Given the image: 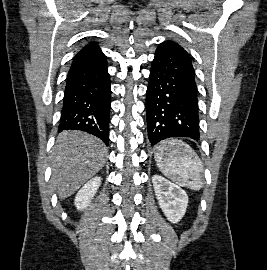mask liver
I'll return each mask as SVG.
<instances>
[{
  "mask_svg": "<svg viewBox=\"0 0 267 270\" xmlns=\"http://www.w3.org/2000/svg\"><path fill=\"white\" fill-rule=\"evenodd\" d=\"M107 156V147L95 136L73 130L60 133L52 156L51 177L59 198L73 195L103 168Z\"/></svg>",
  "mask_w": 267,
  "mask_h": 270,
  "instance_id": "liver-1",
  "label": "liver"
}]
</instances>
